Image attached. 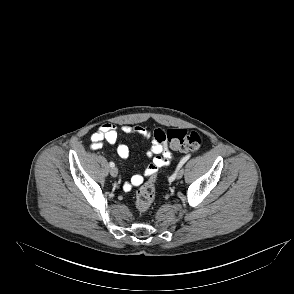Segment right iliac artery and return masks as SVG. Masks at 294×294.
Wrapping results in <instances>:
<instances>
[{"label": "right iliac artery", "mask_w": 294, "mask_h": 294, "mask_svg": "<svg viewBox=\"0 0 294 294\" xmlns=\"http://www.w3.org/2000/svg\"><path fill=\"white\" fill-rule=\"evenodd\" d=\"M115 166V164L113 163V162H110V167H114Z\"/></svg>", "instance_id": "82829eb1"}]
</instances>
